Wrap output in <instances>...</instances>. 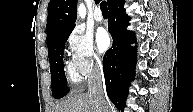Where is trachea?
Returning <instances> with one entry per match:
<instances>
[{
	"label": "trachea",
	"mask_w": 193,
	"mask_h": 112,
	"mask_svg": "<svg viewBox=\"0 0 193 112\" xmlns=\"http://www.w3.org/2000/svg\"><path fill=\"white\" fill-rule=\"evenodd\" d=\"M100 9L102 11V14H107L108 10H107V3H106V1H102L101 2Z\"/></svg>",
	"instance_id": "obj_1"
}]
</instances>
